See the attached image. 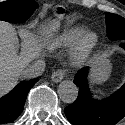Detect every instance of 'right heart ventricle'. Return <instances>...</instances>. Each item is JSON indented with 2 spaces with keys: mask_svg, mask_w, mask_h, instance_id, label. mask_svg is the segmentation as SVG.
Instances as JSON below:
<instances>
[{
  "mask_svg": "<svg viewBox=\"0 0 125 125\" xmlns=\"http://www.w3.org/2000/svg\"><path fill=\"white\" fill-rule=\"evenodd\" d=\"M82 32L83 29L79 27L64 31L54 38L52 48L55 50H63L72 46L78 40Z\"/></svg>",
  "mask_w": 125,
  "mask_h": 125,
  "instance_id": "obj_1",
  "label": "right heart ventricle"
}]
</instances>
